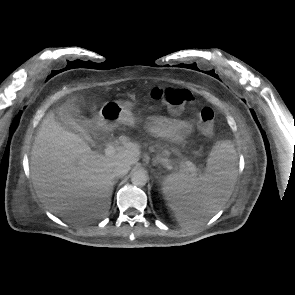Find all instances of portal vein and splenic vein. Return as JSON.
I'll list each match as a JSON object with an SVG mask.
<instances>
[{"instance_id": "1", "label": "portal vein and splenic vein", "mask_w": 295, "mask_h": 295, "mask_svg": "<svg viewBox=\"0 0 295 295\" xmlns=\"http://www.w3.org/2000/svg\"><path fill=\"white\" fill-rule=\"evenodd\" d=\"M115 153H116V149H115L114 146L109 145V146H107V147L105 148V154H106L107 156H112V155H114ZM183 165H184V167L186 168V170L192 172L193 174L196 173L197 168H196V166H195L191 161H185V162L183 163Z\"/></svg>"}]
</instances>
